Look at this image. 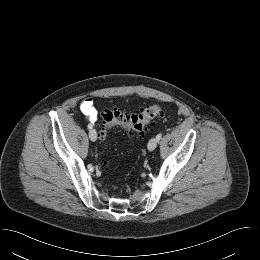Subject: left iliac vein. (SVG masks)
<instances>
[{
	"label": "left iliac vein",
	"mask_w": 260,
	"mask_h": 260,
	"mask_svg": "<svg viewBox=\"0 0 260 260\" xmlns=\"http://www.w3.org/2000/svg\"><path fill=\"white\" fill-rule=\"evenodd\" d=\"M158 141L156 138H151L150 141L148 142V150L153 151L157 147Z\"/></svg>",
	"instance_id": "4c4485c4"
}]
</instances>
